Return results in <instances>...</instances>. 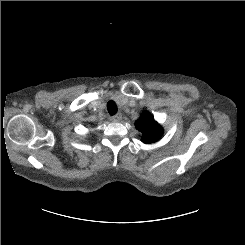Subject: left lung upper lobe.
Segmentation results:
<instances>
[{"label": "left lung upper lobe", "mask_w": 245, "mask_h": 245, "mask_svg": "<svg viewBox=\"0 0 245 245\" xmlns=\"http://www.w3.org/2000/svg\"><path fill=\"white\" fill-rule=\"evenodd\" d=\"M137 129L142 133L144 143L156 142L163 134L162 127L154 120L149 112H144L136 121Z\"/></svg>", "instance_id": "1"}]
</instances>
